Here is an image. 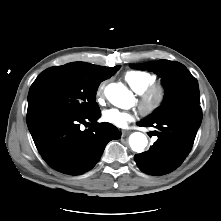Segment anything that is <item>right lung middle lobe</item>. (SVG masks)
<instances>
[{
    "label": "right lung middle lobe",
    "mask_w": 221,
    "mask_h": 221,
    "mask_svg": "<svg viewBox=\"0 0 221 221\" xmlns=\"http://www.w3.org/2000/svg\"><path fill=\"white\" fill-rule=\"evenodd\" d=\"M100 83L59 66L48 68L30 87L28 111L55 109L79 115L92 114L100 110L96 103Z\"/></svg>",
    "instance_id": "right-lung-middle-lobe-1"
}]
</instances>
